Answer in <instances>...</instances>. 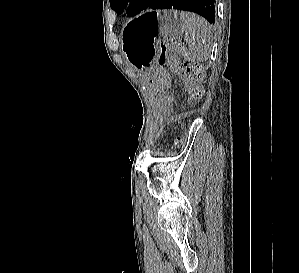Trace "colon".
I'll return each mask as SVG.
<instances>
[{"mask_svg": "<svg viewBox=\"0 0 299 273\" xmlns=\"http://www.w3.org/2000/svg\"><path fill=\"white\" fill-rule=\"evenodd\" d=\"M184 53V48L180 44H161L158 55V63L167 65L174 73L183 78L190 85L191 97L193 100H199L204 89L200 85L203 81L205 73L203 67L192 59H186L180 62L178 56ZM177 145L182 144V138L176 140Z\"/></svg>", "mask_w": 299, "mask_h": 273, "instance_id": "obj_1", "label": "colon"}]
</instances>
